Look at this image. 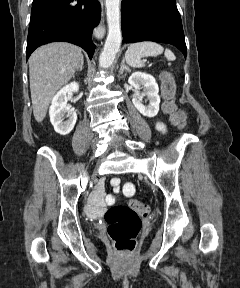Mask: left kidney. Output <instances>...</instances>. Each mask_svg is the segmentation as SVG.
<instances>
[{"label": "left kidney", "mask_w": 240, "mask_h": 288, "mask_svg": "<svg viewBox=\"0 0 240 288\" xmlns=\"http://www.w3.org/2000/svg\"><path fill=\"white\" fill-rule=\"evenodd\" d=\"M128 82L135 90L132 102L136 109L143 116L149 118L155 117L158 114L160 106L159 88L155 78L147 73L135 72L129 77ZM141 88L143 89L142 92L139 91ZM144 96H147L149 100L148 105L142 103Z\"/></svg>", "instance_id": "left-kidney-1"}]
</instances>
